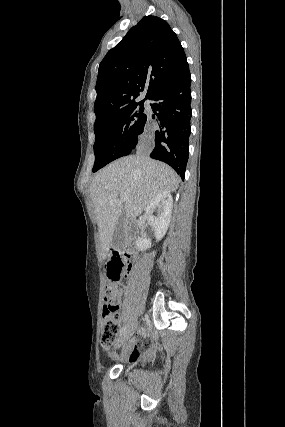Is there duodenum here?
I'll return each mask as SVG.
<instances>
[{"label": "duodenum", "instance_id": "410a0bca", "mask_svg": "<svg viewBox=\"0 0 285 427\" xmlns=\"http://www.w3.org/2000/svg\"><path fill=\"white\" fill-rule=\"evenodd\" d=\"M133 239H128L126 247L121 251L125 258H131L133 255Z\"/></svg>", "mask_w": 285, "mask_h": 427}]
</instances>
